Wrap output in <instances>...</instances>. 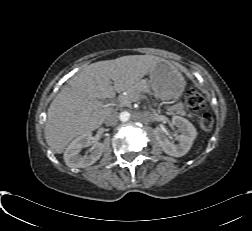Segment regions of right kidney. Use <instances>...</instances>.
<instances>
[{
	"instance_id": "1",
	"label": "right kidney",
	"mask_w": 252,
	"mask_h": 231,
	"mask_svg": "<svg viewBox=\"0 0 252 231\" xmlns=\"http://www.w3.org/2000/svg\"><path fill=\"white\" fill-rule=\"evenodd\" d=\"M92 139L91 133H85L76 139H74L66 148L64 152V161L67 166L73 168H85L94 164L97 160L100 159L103 150L104 144L97 143L90 149L89 155H80L82 148L88 147Z\"/></svg>"
}]
</instances>
